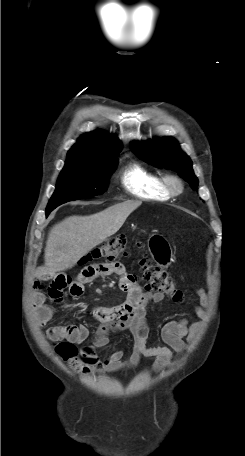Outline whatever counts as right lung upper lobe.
<instances>
[{
  "label": "right lung upper lobe",
  "instance_id": "obj_1",
  "mask_svg": "<svg viewBox=\"0 0 245 456\" xmlns=\"http://www.w3.org/2000/svg\"><path fill=\"white\" fill-rule=\"evenodd\" d=\"M121 143L97 130L84 134L69 150L66 163L101 162L117 157Z\"/></svg>",
  "mask_w": 245,
  "mask_h": 456
}]
</instances>
